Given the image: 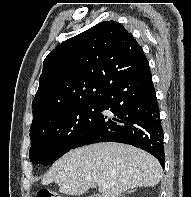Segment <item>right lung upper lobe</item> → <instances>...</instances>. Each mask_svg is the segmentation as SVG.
<instances>
[{"mask_svg":"<svg viewBox=\"0 0 191 197\" xmlns=\"http://www.w3.org/2000/svg\"><path fill=\"white\" fill-rule=\"evenodd\" d=\"M147 66L141 46L115 21L64 41L44 60L31 128L63 110L98 101L108 87Z\"/></svg>","mask_w":191,"mask_h":197,"instance_id":"obj_1","label":"right lung upper lobe"}]
</instances>
